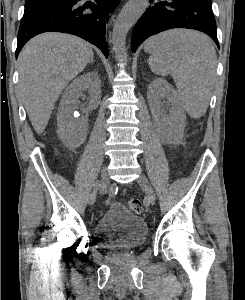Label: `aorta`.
I'll return each instance as SVG.
<instances>
[{"instance_id":"762f6f07","label":"aorta","mask_w":245,"mask_h":300,"mask_svg":"<svg viewBox=\"0 0 245 300\" xmlns=\"http://www.w3.org/2000/svg\"><path fill=\"white\" fill-rule=\"evenodd\" d=\"M148 6L149 0H129L119 13L112 34V42L117 57H127L125 47L126 35Z\"/></svg>"}]
</instances>
